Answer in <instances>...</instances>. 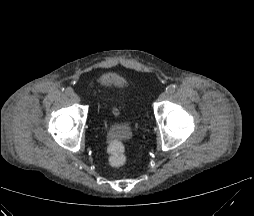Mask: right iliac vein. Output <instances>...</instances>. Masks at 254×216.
<instances>
[{"instance_id":"obj_1","label":"right iliac vein","mask_w":254,"mask_h":216,"mask_svg":"<svg viewBox=\"0 0 254 216\" xmlns=\"http://www.w3.org/2000/svg\"><path fill=\"white\" fill-rule=\"evenodd\" d=\"M71 97H72L74 102H76V103L80 102V97L77 94H73Z\"/></svg>"}]
</instances>
